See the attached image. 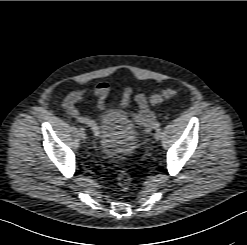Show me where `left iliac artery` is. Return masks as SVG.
I'll return each instance as SVG.
<instances>
[{
  "label": "left iliac artery",
  "instance_id": "obj_1",
  "mask_svg": "<svg viewBox=\"0 0 247 245\" xmlns=\"http://www.w3.org/2000/svg\"><path fill=\"white\" fill-rule=\"evenodd\" d=\"M153 126L156 129H160V123L159 122H155Z\"/></svg>",
  "mask_w": 247,
  "mask_h": 245
}]
</instances>
